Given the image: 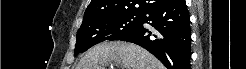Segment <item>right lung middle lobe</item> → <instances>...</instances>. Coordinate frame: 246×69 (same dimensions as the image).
<instances>
[{"mask_svg": "<svg viewBox=\"0 0 246 69\" xmlns=\"http://www.w3.org/2000/svg\"><path fill=\"white\" fill-rule=\"evenodd\" d=\"M141 20L142 14H121L83 22L77 32L74 56L100 42L118 40L138 27Z\"/></svg>", "mask_w": 246, "mask_h": 69, "instance_id": "dd1d6c3e", "label": "right lung middle lobe"}]
</instances>
